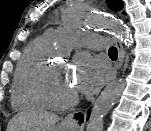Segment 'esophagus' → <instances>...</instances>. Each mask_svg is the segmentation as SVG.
<instances>
[{"label":"esophagus","mask_w":151,"mask_h":131,"mask_svg":"<svg viewBox=\"0 0 151 131\" xmlns=\"http://www.w3.org/2000/svg\"><path fill=\"white\" fill-rule=\"evenodd\" d=\"M112 39L118 50V59L115 64V70H116L115 74H114V78H115L117 75V72L122 67L125 52H124V48H123L121 42L119 41V39H117L116 37H112ZM65 120L67 122L71 123L72 125H74L75 127H77L78 129L83 130L85 122H86V115L82 111H75L73 113L68 114L66 116Z\"/></svg>","instance_id":"obj_1"}]
</instances>
